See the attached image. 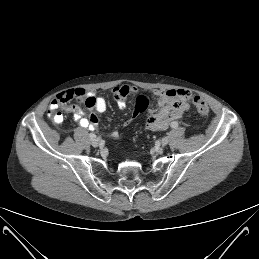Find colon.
<instances>
[{"label":"colon","mask_w":259,"mask_h":259,"mask_svg":"<svg viewBox=\"0 0 259 259\" xmlns=\"http://www.w3.org/2000/svg\"><path fill=\"white\" fill-rule=\"evenodd\" d=\"M149 104H150V101L147 97H145V96L138 97L137 100H136V103H135L134 115L132 116V118H134L138 114L144 112L148 108ZM193 104L195 105L199 115L202 118H205V117L208 116L209 107H208L207 103L205 102V100H203L199 96H196V97L193 98ZM58 107L59 106H51L50 105V109H49V114L51 115L52 119L57 123L62 121L61 114L56 111V109Z\"/></svg>","instance_id":"colon-1"}]
</instances>
